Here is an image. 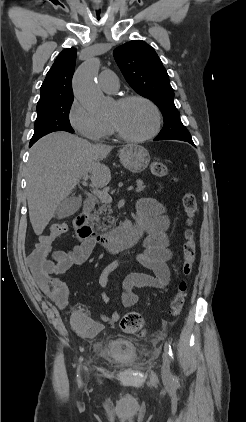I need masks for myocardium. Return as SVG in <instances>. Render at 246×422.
Here are the masks:
<instances>
[{
  "label": "myocardium",
  "instance_id": "myocardium-1",
  "mask_svg": "<svg viewBox=\"0 0 246 422\" xmlns=\"http://www.w3.org/2000/svg\"><path fill=\"white\" fill-rule=\"evenodd\" d=\"M134 101H139V102H143L145 104H147L154 112L155 114V124L152 128V130L143 135V136H132L129 135L127 133H125L123 130H121L115 123L110 122V125L112 127V129L115 131V133L117 134V136L125 141L128 142H133V143H142L145 141H148L150 139H152L153 137H155L160 129H161V125H162V113L159 109V107L149 98L142 96V95H127V96H123L119 99H117L116 104L118 105H125L128 104L130 102H134Z\"/></svg>",
  "mask_w": 246,
  "mask_h": 422
}]
</instances>
